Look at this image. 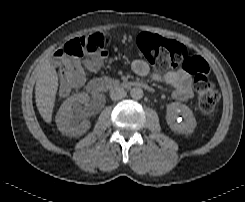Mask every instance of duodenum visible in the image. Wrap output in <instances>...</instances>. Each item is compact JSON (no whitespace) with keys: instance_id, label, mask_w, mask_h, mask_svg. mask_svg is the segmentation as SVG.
I'll list each match as a JSON object with an SVG mask.
<instances>
[{"instance_id":"410a0bca","label":"duodenum","mask_w":245,"mask_h":202,"mask_svg":"<svg viewBox=\"0 0 245 202\" xmlns=\"http://www.w3.org/2000/svg\"><path fill=\"white\" fill-rule=\"evenodd\" d=\"M134 88H140L152 92V88L148 84L140 81H128L121 83L111 78L101 77L93 79L88 84V91L94 97L106 90Z\"/></svg>"}]
</instances>
